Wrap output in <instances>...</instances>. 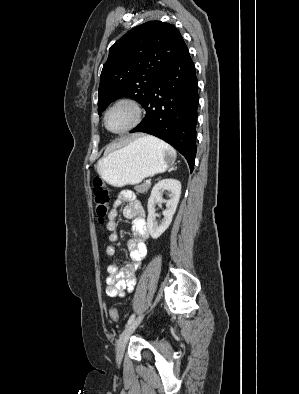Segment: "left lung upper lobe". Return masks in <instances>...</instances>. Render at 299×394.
I'll list each match as a JSON object with an SVG mask.
<instances>
[{"instance_id":"obj_1","label":"left lung upper lobe","mask_w":299,"mask_h":394,"mask_svg":"<svg viewBox=\"0 0 299 394\" xmlns=\"http://www.w3.org/2000/svg\"><path fill=\"white\" fill-rule=\"evenodd\" d=\"M186 44L176 27L161 21L139 25L109 49L98 89V112L120 97L142 106L161 73L180 55Z\"/></svg>"}]
</instances>
